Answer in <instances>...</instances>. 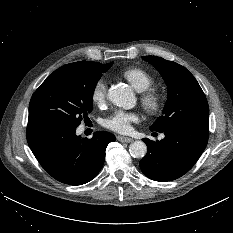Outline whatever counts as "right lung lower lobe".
<instances>
[{
  "mask_svg": "<svg viewBox=\"0 0 233 233\" xmlns=\"http://www.w3.org/2000/svg\"><path fill=\"white\" fill-rule=\"evenodd\" d=\"M76 128L56 121L28 120L27 125V141L36 159L53 178L69 185L91 181L104 164L107 145L115 141L105 131L81 139Z\"/></svg>",
  "mask_w": 233,
  "mask_h": 233,
  "instance_id": "98d812e1",
  "label": "right lung lower lobe"
}]
</instances>
